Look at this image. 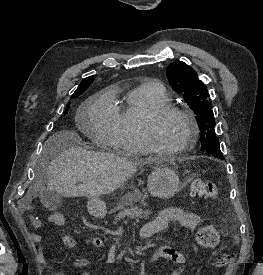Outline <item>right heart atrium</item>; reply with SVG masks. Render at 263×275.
Segmentation results:
<instances>
[{
	"label": "right heart atrium",
	"mask_w": 263,
	"mask_h": 275,
	"mask_svg": "<svg viewBox=\"0 0 263 275\" xmlns=\"http://www.w3.org/2000/svg\"><path fill=\"white\" fill-rule=\"evenodd\" d=\"M114 108L111 94L98 96L89 109V118L94 126L97 138L105 144H114L113 131Z\"/></svg>",
	"instance_id": "right-heart-atrium-1"
}]
</instances>
